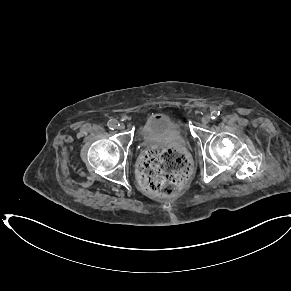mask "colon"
Listing matches in <instances>:
<instances>
[{
  "instance_id": "1",
  "label": "colon",
  "mask_w": 291,
  "mask_h": 291,
  "mask_svg": "<svg viewBox=\"0 0 291 291\" xmlns=\"http://www.w3.org/2000/svg\"><path fill=\"white\" fill-rule=\"evenodd\" d=\"M190 171L186 156L174 147H152L141 158L140 183L149 193L168 197L180 191Z\"/></svg>"
}]
</instances>
